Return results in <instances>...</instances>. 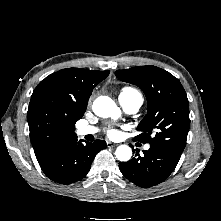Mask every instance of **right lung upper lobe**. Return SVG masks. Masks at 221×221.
Here are the masks:
<instances>
[{"label":"right lung upper lobe","instance_id":"1","mask_svg":"<svg viewBox=\"0 0 221 221\" xmlns=\"http://www.w3.org/2000/svg\"><path fill=\"white\" fill-rule=\"evenodd\" d=\"M109 72L67 68L38 84L27 113L30 140L38 162L77 138L75 123L84 115L93 88Z\"/></svg>","mask_w":221,"mask_h":221}]
</instances>
